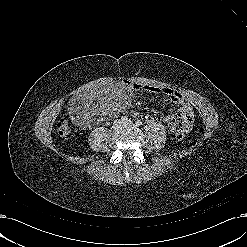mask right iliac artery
<instances>
[{
	"label": "right iliac artery",
	"instance_id": "82829eb1",
	"mask_svg": "<svg viewBox=\"0 0 247 247\" xmlns=\"http://www.w3.org/2000/svg\"><path fill=\"white\" fill-rule=\"evenodd\" d=\"M121 120L122 121H126L127 120V117L126 116H122Z\"/></svg>",
	"mask_w": 247,
	"mask_h": 247
}]
</instances>
